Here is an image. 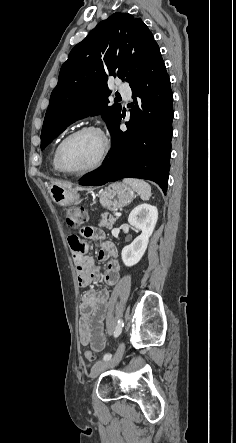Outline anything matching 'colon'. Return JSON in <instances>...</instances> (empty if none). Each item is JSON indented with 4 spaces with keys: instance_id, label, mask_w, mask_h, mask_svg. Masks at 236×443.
Listing matches in <instances>:
<instances>
[{
    "instance_id": "1",
    "label": "colon",
    "mask_w": 236,
    "mask_h": 443,
    "mask_svg": "<svg viewBox=\"0 0 236 443\" xmlns=\"http://www.w3.org/2000/svg\"><path fill=\"white\" fill-rule=\"evenodd\" d=\"M65 221L68 226L72 228L82 227L88 218L87 212L82 208H70L63 212ZM82 234L85 237H90L92 235L91 228L83 229ZM84 356L87 360L92 361L94 359V354L91 350H86Z\"/></svg>"
}]
</instances>
